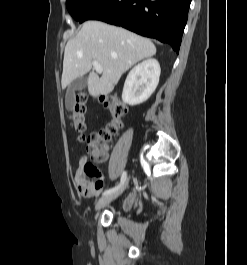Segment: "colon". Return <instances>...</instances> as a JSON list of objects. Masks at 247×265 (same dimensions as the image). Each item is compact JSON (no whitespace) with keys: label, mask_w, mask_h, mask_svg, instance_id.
Wrapping results in <instances>:
<instances>
[{"label":"colon","mask_w":247,"mask_h":265,"mask_svg":"<svg viewBox=\"0 0 247 265\" xmlns=\"http://www.w3.org/2000/svg\"><path fill=\"white\" fill-rule=\"evenodd\" d=\"M101 103L110 114V121L96 133L87 134L86 96L76 95L74 107L70 113V123L80 141L87 142L91 159L102 161L106 157L104 144L120 129L127 113V106L116 95H106L100 98ZM84 170L89 176H99V171L92 162H86Z\"/></svg>","instance_id":"5ec220e1"}]
</instances>
